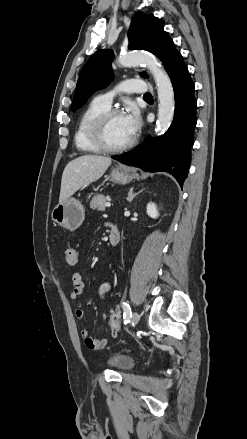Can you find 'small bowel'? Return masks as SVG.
Segmentation results:
<instances>
[{
	"label": "small bowel",
	"mask_w": 247,
	"mask_h": 439,
	"mask_svg": "<svg viewBox=\"0 0 247 439\" xmlns=\"http://www.w3.org/2000/svg\"><path fill=\"white\" fill-rule=\"evenodd\" d=\"M72 283H73V289L70 293V297H71V299L76 300L77 298H79L83 294L84 288H85L84 280L82 278V275L79 272L73 273ZM110 288H111L110 282H104L99 287V295L101 297H104L106 295V293L110 290ZM75 318L79 324L83 323L84 311L82 308L78 307L75 310ZM80 335H81L86 347L91 349V350H101L107 345L106 339L92 338L89 335V332L85 327L81 328Z\"/></svg>",
	"instance_id": "1"
}]
</instances>
